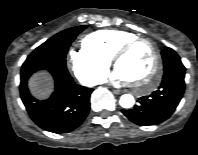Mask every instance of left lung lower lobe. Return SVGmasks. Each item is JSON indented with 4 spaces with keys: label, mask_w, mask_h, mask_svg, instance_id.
<instances>
[{
    "label": "left lung lower lobe",
    "mask_w": 198,
    "mask_h": 155,
    "mask_svg": "<svg viewBox=\"0 0 198 155\" xmlns=\"http://www.w3.org/2000/svg\"><path fill=\"white\" fill-rule=\"evenodd\" d=\"M185 67H175L164 73L158 90L141 97L133 109L122 110L133 123L141 126L159 124L168 119L179 104L185 88Z\"/></svg>",
    "instance_id": "obj_1"
}]
</instances>
